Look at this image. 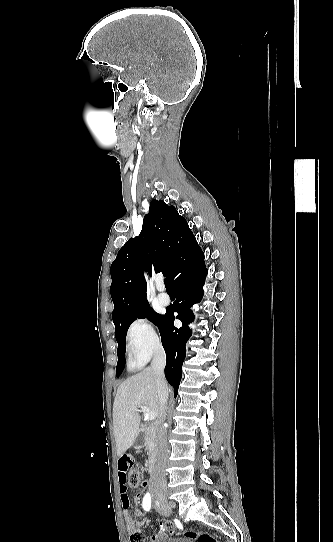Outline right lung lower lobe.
<instances>
[{
	"instance_id": "obj_1",
	"label": "right lung lower lobe",
	"mask_w": 333,
	"mask_h": 542,
	"mask_svg": "<svg viewBox=\"0 0 333 542\" xmlns=\"http://www.w3.org/2000/svg\"><path fill=\"white\" fill-rule=\"evenodd\" d=\"M206 275L204 253L197 241L176 255L171 280L176 301L167 309L158 326L167 359L165 377L174 387L175 397L182 377V364L186 355L185 344L192 334L188 324L194 320V314L190 307L201 301ZM174 312L178 315L174 316ZM175 318L181 320L182 327L174 326Z\"/></svg>"
}]
</instances>
